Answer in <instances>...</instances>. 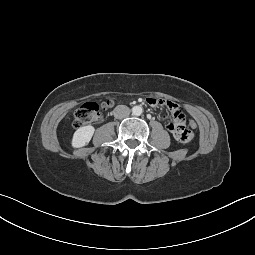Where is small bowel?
I'll return each instance as SVG.
<instances>
[{
    "label": "small bowel",
    "instance_id": "c3829d8e",
    "mask_svg": "<svg viewBox=\"0 0 255 255\" xmlns=\"http://www.w3.org/2000/svg\"><path fill=\"white\" fill-rule=\"evenodd\" d=\"M145 103L148 106L159 107L165 110L166 126L170 136L179 140L182 144H189L196 139V134L188 126L182 107L173 100L158 99L157 97H146Z\"/></svg>",
    "mask_w": 255,
    "mask_h": 255
}]
</instances>
